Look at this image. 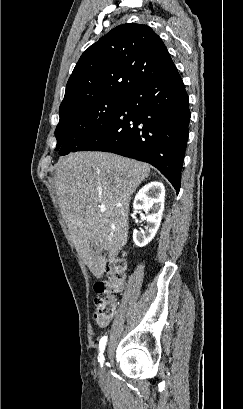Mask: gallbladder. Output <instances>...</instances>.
Returning <instances> with one entry per match:
<instances>
[{"label": "gallbladder", "mask_w": 243, "mask_h": 409, "mask_svg": "<svg viewBox=\"0 0 243 409\" xmlns=\"http://www.w3.org/2000/svg\"><path fill=\"white\" fill-rule=\"evenodd\" d=\"M91 251L95 256H101L102 255V249L98 245L91 244Z\"/></svg>", "instance_id": "bac80fb5"}]
</instances>
